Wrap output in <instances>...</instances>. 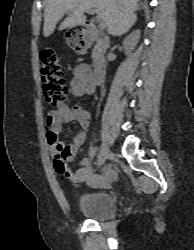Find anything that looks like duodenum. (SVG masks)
Segmentation results:
<instances>
[{
  "label": "duodenum",
  "mask_w": 194,
  "mask_h": 250,
  "mask_svg": "<svg viewBox=\"0 0 194 250\" xmlns=\"http://www.w3.org/2000/svg\"><path fill=\"white\" fill-rule=\"evenodd\" d=\"M84 27L86 30L92 33H96L98 31L97 25L91 22H86ZM91 43H92V40L89 39V44ZM103 73H104V63L101 60H97L94 64V68L91 74V79H92L93 84H99L102 81Z\"/></svg>",
  "instance_id": "obj_1"
}]
</instances>
